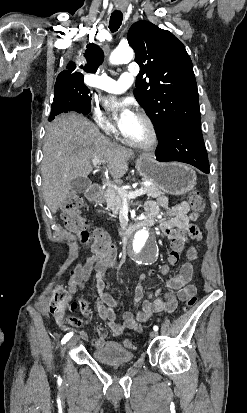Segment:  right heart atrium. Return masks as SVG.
Wrapping results in <instances>:
<instances>
[{
	"instance_id": "right-heart-atrium-1",
	"label": "right heart atrium",
	"mask_w": 247,
	"mask_h": 413,
	"mask_svg": "<svg viewBox=\"0 0 247 413\" xmlns=\"http://www.w3.org/2000/svg\"><path fill=\"white\" fill-rule=\"evenodd\" d=\"M90 111L92 114H101L103 108L101 105H92ZM99 127L105 134H112L115 131L114 127L106 121L104 116L100 117Z\"/></svg>"
}]
</instances>
